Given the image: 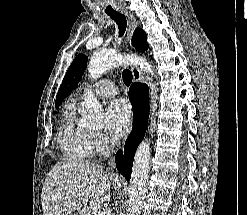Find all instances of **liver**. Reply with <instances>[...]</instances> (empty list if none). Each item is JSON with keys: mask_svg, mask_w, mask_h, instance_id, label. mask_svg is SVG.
<instances>
[{"mask_svg": "<svg viewBox=\"0 0 247 215\" xmlns=\"http://www.w3.org/2000/svg\"><path fill=\"white\" fill-rule=\"evenodd\" d=\"M109 177L96 164L57 162L42 188L43 215H69L88 203L102 204L110 191Z\"/></svg>", "mask_w": 247, "mask_h": 215, "instance_id": "obj_1", "label": "liver"}]
</instances>
